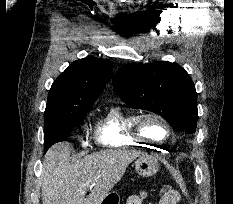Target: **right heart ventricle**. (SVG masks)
I'll use <instances>...</instances> for the list:
<instances>
[{"instance_id":"1","label":"right heart ventricle","mask_w":233,"mask_h":204,"mask_svg":"<svg viewBox=\"0 0 233 204\" xmlns=\"http://www.w3.org/2000/svg\"><path fill=\"white\" fill-rule=\"evenodd\" d=\"M136 114L120 105L111 106L96 122L95 140L108 148L147 147L148 141L133 131Z\"/></svg>"}]
</instances>
